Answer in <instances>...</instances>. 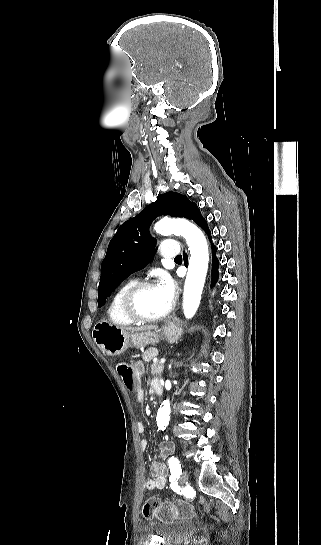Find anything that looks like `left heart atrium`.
<instances>
[{"label":"left heart atrium","instance_id":"39dd6f15","mask_svg":"<svg viewBox=\"0 0 321 545\" xmlns=\"http://www.w3.org/2000/svg\"><path fill=\"white\" fill-rule=\"evenodd\" d=\"M157 287L166 296L171 306L176 299L178 291L173 279L167 273H162L159 277Z\"/></svg>","mask_w":321,"mask_h":545}]
</instances>
